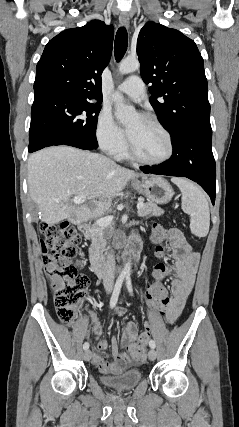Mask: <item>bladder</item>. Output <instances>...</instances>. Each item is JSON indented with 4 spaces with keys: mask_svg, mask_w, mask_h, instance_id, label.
<instances>
[{
    "mask_svg": "<svg viewBox=\"0 0 239 427\" xmlns=\"http://www.w3.org/2000/svg\"><path fill=\"white\" fill-rule=\"evenodd\" d=\"M142 379V373L138 369H129L116 375H102L100 381L105 386L114 390H129L134 388Z\"/></svg>",
    "mask_w": 239,
    "mask_h": 427,
    "instance_id": "1",
    "label": "bladder"
}]
</instances>
